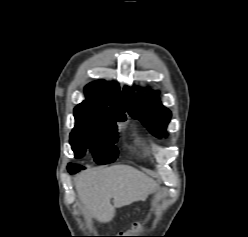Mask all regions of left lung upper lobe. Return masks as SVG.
<instances>
[{"instance_id": "obj_1", "label": "left lung upper lobe", "mask_w": 248, "mask_h": 237, "mask_svg": "<svg viewBox=\"0 0 248 237\" xmlns=\"http://www.w3.org/2000/svg\"><path fill=\"white\" fill-rule=\"evenodd\" d=\"M124 96L129 113L133 118H140L149 131L157 136H166V125L170 121L171 112L163 107L156 97H146L133 94L125 87Z\"/></svg>"}]
</instances>
